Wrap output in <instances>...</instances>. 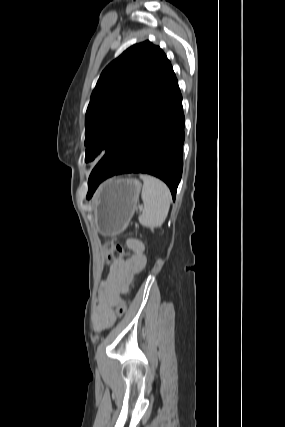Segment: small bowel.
<instances>
[{
    "mask_svg": "<svg viewBox=\"0 0 285 427\" xmlns=\"http://www.w3.org/2000/svg\"><path fill=\"white\" fill-rule=\"evenodd\" d=\"M133 255L127 259H117L112 262L107 278L99 285L94 303V327L100 332L111 327L115 321L114 307L120 300L136 272L146 265L144 245L141 241L132 239L128 242Z\"/></svg>",
    "mask_w": 285,
    "mask_h": 427,
    "instance_id": "1",
    "label": "small bowel"
}]
</instances>
